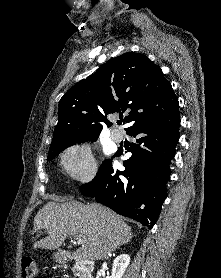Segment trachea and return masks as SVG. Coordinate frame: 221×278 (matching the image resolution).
<instances>
[{"label": "trachea", "mask_w": 221, "mask_h": 278, "mask_svg": "<svg viewBox=\"0 0 221 278\" xmlns=\"http://www.w3.org/2000/svg\"><path fill=\"white\" fill-rule=\"evenodd\" d=\"M118 124L121 125V124H122V121H119Z\"/></svg>", "instance_id": "trachea-1"}]
</instances>
